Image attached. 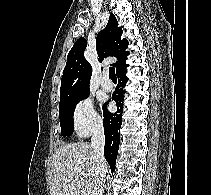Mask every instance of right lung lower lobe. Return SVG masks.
I'll return each instance as SVG.
<instances>
[{
  "label": "right lung lower lobe",
  "instance_id": "98d812e1",
  "mask_svg": "<svg viewBox=\"0 0 211 195\" xmlns=\"http://www.w3.org/2000/svg\"><path fill=\"white\" fill-rule=\"evenodd\" d=\"M118 76V87L112 95V99L116 102V106L118 107V111L114 114L110 113L107 110V102L103 106V114H104V134H105V147H104V155L105 158L110 165L111 171L115 170V163L119 149V141H120V127L122 123L121 112L123 111V100L125 91L123 87L128 81L126 77V68L117 73Z\"/></svg>",
  "mask_w": 211,
  "mask_h": 195
}]
</instances>
